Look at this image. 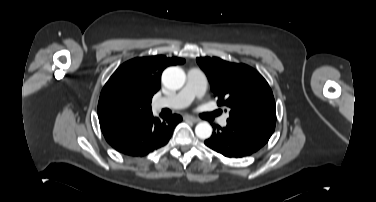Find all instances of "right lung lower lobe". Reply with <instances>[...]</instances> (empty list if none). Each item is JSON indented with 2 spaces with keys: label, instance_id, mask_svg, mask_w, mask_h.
<instances>
[{
  "label": "right lung lower lobe",
  "instance_id": "98d812e1",
  "mask_svg": "<svg viewBox=\"0 0 376 202\" xmlns=\"http://www.w3.org/2000/svg\"><path fill=\"white\" fill-rule=\"evenodd\" d=\"M180 115H166L161 119L149 114L103 133L106 141L117 151L129 156H145L168 143Z\"/></svg>",
  "mask_w": 376,
  "mask_h": 202
}]
</instances>
